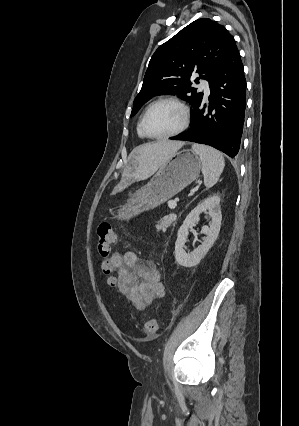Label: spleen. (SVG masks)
Here are the masks:
<instances>
[{
  "mask_svg": "<svg viewBox=\"0 0 299 426\" xmlns=\"http://www.w3.org/2000/svg\"><path fill=\"white\" fill-rule=\"evenodd\" d=\"M192 150L199 155L202 162L204 184L207 188L215 185L223 172L225 161L223 155L212 147L194 144Z\"/></svg>",
  "mask_w": 299,
  "mask_h": 426,
  "instance_id": "obj_1",
  "label": "spleen"
}]
</instances>
